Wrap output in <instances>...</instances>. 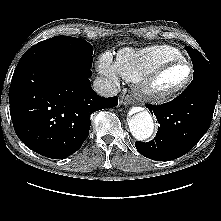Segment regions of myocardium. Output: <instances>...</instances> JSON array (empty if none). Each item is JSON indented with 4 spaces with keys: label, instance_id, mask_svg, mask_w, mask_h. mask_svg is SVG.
Masks as SVG:
<instances>
[{
    "label": "myocardium",
    "instance_id": "obj_1",
    "mask_svg": "<svg viewBox=\"0 0 221 221\" xmlns=\"http://www.w3.org/2000/svg\"><path fill=\"white\" fill-rule=\"evenodd\" d=\"M180 65H184L189 68L188 78L182 84L174 88L160 89L157 85L160 77L168 70ZM193 78V65L185 59L175 60L159 66L148 76L140 80L137 86V92L144 100L148 102L163 103L183 92L191 84Z\"/></svg>",
    "mask_w": 221,
    "mask_h": 221
}]
</instances>
